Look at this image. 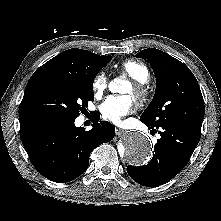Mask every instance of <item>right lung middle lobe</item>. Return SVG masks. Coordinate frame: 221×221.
<instances>
[{"instance_id":"obj_1","label":"right lung middle lobe","mask_w":221,"mask_h":221,"mask_svg":"<svg viewBox=\"0 0 221 221\" xmlns=\"http://www.w3.org/2000/svg\"><path fill=\"white\" fill-rule=\"evenodd\" d=\"M112 56L109 55L85 76L47 74L29 82L20 104L22 114H51L76 119L94 100L93 82L99 70Z\"/></svg>"}]
</instances>
